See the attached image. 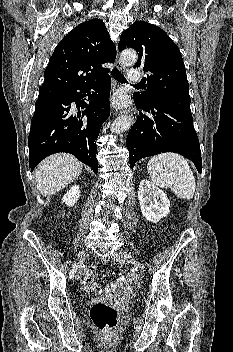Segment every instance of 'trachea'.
Returning a JSON list of instances; mask_svg holds the SVG:
<instances>
[{"label":"trachea","instance_id":"1","mask_svg":"<svg viewBox=\"0 0 233 352\" xmlns=\"http://www.w3.org/2000/svg\"><path fill=\"white\" fill-rule=\"evenodd\" d=\"M113 78L115 80H117L118 82H121V83H126V78L124 77V75L117 69H113L112 72H111Z\"/></svg>","mask_w":233,"mask_h":352}]
</instances>
